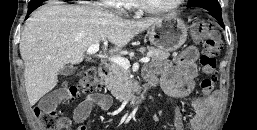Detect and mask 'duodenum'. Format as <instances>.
Returning <instances> with one entry per match:
<instances>
[{"mask_svg":"<svg viewBox=\"0 0 257 130\" xmlns=\"http://www.w3.org/2000/svg\"><path fill=\"white\" fill-rule=\"evenodd\" d=\"M98 73L103 80L106 79L110 73L109 65L108 64L100 65L98 69ZM154 86H156V84L153 81L147 80V85L145 86L143 91L139 95L127 100L125 103V107L129 110H133L139 107L145 100L147 91Z\"/></svg>","mask_w":257,"mask_h":130,"instance_id":"obj_1","label":"duodenum"}]
</instances>
